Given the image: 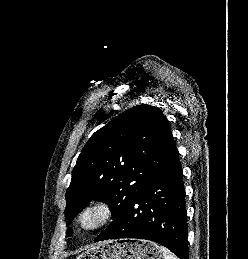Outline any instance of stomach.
Returning a JSON list of instances; mask_svg holds the SVG:
<instances>
[{"label":"stomach","instance_id":"1","mask_svg":"<svg viewBox=\"0 0 248 259\" xmlns=\"http://www.w3.org/2000/svg\"><path fill=\"white\" fill-rule=\"evenodd\" d=\"M159 245L141 239H121L98 244L76 259H162Z\"/></svg>","mask_w":248,"mask_h":259}]
</instances>
